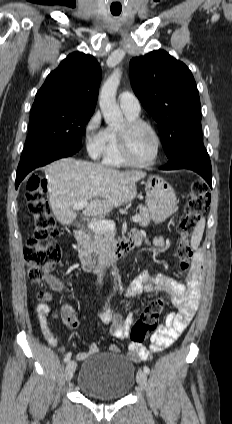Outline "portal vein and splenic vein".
Listing matches in <instances>:
<instances>
[{"label":"portal vein and splenic vein","mask_w":232,"mask_h":424,"mask_svg":"<svg viewBox=\"0 0 232 424\" xmlns=\"http://www.w3.org/2000/svg\"><path fill=\"white\" fill-rule=\"evenodd\" d=\"M88 205L87 201H80V202H76L73 204V209L74 210H80L85 208ZM132 221L137 223L140 221V217L139 216H134L132 217ZM87 227L98 231V230H115V223L113 221H109V220H95V221H91L87 224Z\"/></svg>","instance_id":"obj_1"}]
</instances>
